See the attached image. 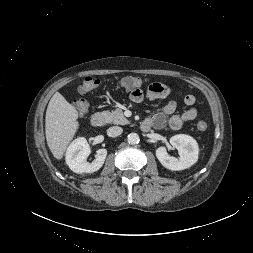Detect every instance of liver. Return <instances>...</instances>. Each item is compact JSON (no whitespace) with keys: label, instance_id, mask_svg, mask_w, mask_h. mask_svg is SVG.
Listing matches in <instances>:
<instances>
[{"label":"liver","instance_id":"6515ba94","mask_svg":"<svg viewBox=\"0 0 253 253\" xmlns=\"http://www.w3.org/2000/svg\"><path fill=\"white\" fill-rule=\"evenodd\" d=\"M78 112L59 92L49 101L46 118V141L53 156L60 160L79 128Z\"/></svg>","mask_w":253,"mask_h":253}]
</instances>
